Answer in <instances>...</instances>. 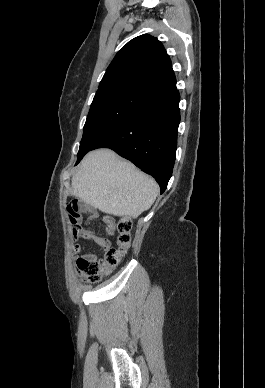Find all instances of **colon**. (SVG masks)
Masks as SVG:
<instances>
[{
  "instance_id": "obj_1",
  "label": "colon",
  "mask_w": 265,
  "mask_h": 388,
  "mask_svg": "<svg viewBox=\"0 0 265 388\" xmlns=\"http://www.w3.org/2000/svg\"><path fill=\"white\" fill-rule=\"evenodd\" d=\"M80 207L77 201H70L67 205V213L71 223L74 226V236L76 238H86L88 232L84 231L79 225ZM132 223L128 219H121L117 224L118 236L116 246L107 250L104 257L98 260H90L79 257L76 261L78 274L84 281L96 283L121 262L131 243Z\"/></svg>"
}]
</instances>
